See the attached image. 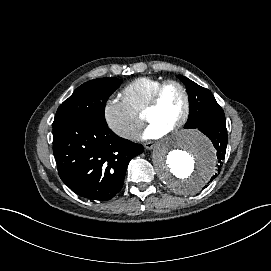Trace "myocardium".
I'll return each instance as SVG.
<instances>
[{
    "instance_id": "myocardium-1",
    "label": "myocardium",
    "mask_w": 271,
    "mask_h": 271,
    "mask_svg": "<svg viewBox=\"0 0 271 271\" xmlns=\"http://www.w3.org/2000/svg\"><path fill=\"white\" fill-rule=\"evenodd\" d=\"M170 84H174V85H177L178 87H180L181 90L183 91L185 99H186V109H185L184 114L174 124V126L170 130V132H174V131L181 129L184 125H186L191 117V114H192V97H191V94H190L188 87L182 81H180L178 79L163 80L154 90V92L151 96V100L145 109L144 117H145L146 121L148 122L147 115L151 111L158 108V106L160 104V98H161L162 92Z\"/></svg>"
}]
</instances>
